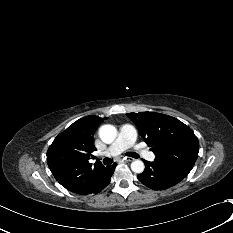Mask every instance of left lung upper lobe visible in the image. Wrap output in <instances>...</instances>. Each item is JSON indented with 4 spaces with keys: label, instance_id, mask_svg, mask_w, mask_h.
<instances>
[{
    "label": "left lung upper lobe",
    "instance_id": "5c2ea615",
    "mask_svg": "<svg viewBox=\"0 0 233 233\" xmlns=\"http://www.w3.org/2000/svg\"><path fill=\"white\" fill-rule=\"evenodd\" d=\"M144 141L152 148L155 162L187 176L199 152L194 132L184 123L169 115L156 112L128 113Z\"/></svg>",
    "mask_w": 233,
    "mask_h": 233
}]
</instances>
